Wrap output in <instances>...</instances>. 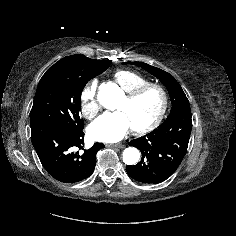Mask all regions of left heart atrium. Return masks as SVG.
Instances as JSON below:
<instances>
[{
    "mask_svg": "<svg viewBox=\"0 0 236 236\" xmlns=\"http://www.w3.org/2000/svg\"><path fill=\"white\" fill-rule=\"evenodd\" d=\"M131 128L123 111L106 112L89 126L88 133L96 141L114 143L121 140Z\"/></svg>",
    "mask_w": 236,
    "mask_h": 236,
    "instance_id": "1",
    "label": "left heart atrium"
}]
</instances>
